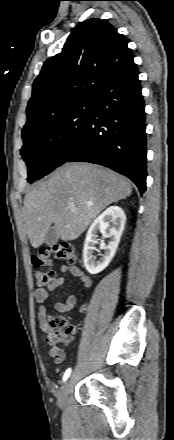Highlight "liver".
Returning a JSON list of instances; mask_svg holds the SVG:
<instances>
[{
  "mask_svg": "<svg viewBox=\"0 0 174 440\" xmlns=\"http://www.w3.org/2000/svg\"><path fill=\"white\" fill-rule=\"evenodd\" d=\"M131 193V183L110 169L66 163L26 194L24 229L34 248L45 242L52 224L61 240H75L104 208Z\"/></svg>",
  "mask_w": 174,
  "mask_h": 440,
  "instance_id": "6515ba94",
  "label": "liver"
}]
</instances>
